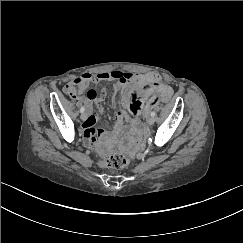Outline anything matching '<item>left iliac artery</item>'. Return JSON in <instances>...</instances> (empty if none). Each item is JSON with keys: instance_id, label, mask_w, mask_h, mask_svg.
Segmentation results:
<instances>
[{"instance_id": "1", "label": "left iliac artery", "mask_w": 243, "mask_h": 243, "mask_svg": "<svg viewBox=\"0 0 243 243\" xmlns=\"http://www.w3.org/2000/svg\"><path fill=\"white\" fill-rule=\"evenodd\" d=\"M156 113L154 111L151 112V116L154 117Z\"/></svg>"}]
</instances>
